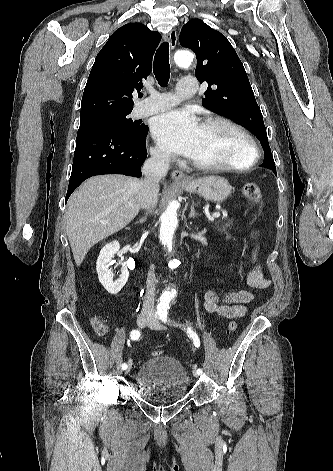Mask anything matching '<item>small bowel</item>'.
<instances>
[{"label":"small bowel","instance_id":"1","mask_svg":"<svg viewBox=\"0 0 333 471\" xmlns=\"http://www.w3.org/2000/svg\"><path fill=\"white\" fill-rule=\"evenodd\" d=\"M255 240L256 233H252ZM257 248L254 245L251 259H256ZM247 284L253 289H267L271 285V281L265 276L263 268L255 265L249 271L247 276ZM255 295L249 290H235L220 295L215 291L208 290L203 296V306L208 314L220 320H234L242 318L247 313V304L253 302Z\"/></svg>","mask_w":333,"mask_h":471}]
</instances>
